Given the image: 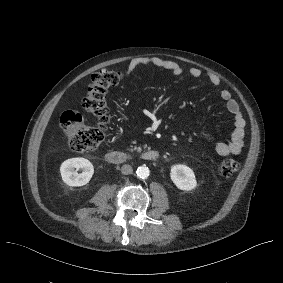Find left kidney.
Here are the masks:
<instances>
[{
  "label": "left kidney",
  "mask_w": 283,
  "mask_h": 283,
  "mask_svg": "<svg viewBox=\"0 0 283 283\" xmlns=\"http://www.w3.org/2000/svg\"><path fill=\"white\" fill-rule=\"evenodd\" d=\"M170 178L180 190L190 191L197 186L193 170L186 165L179 164L172 166Z\"/></svg>",
  "instance_id": "left-kidney-1"
}]
</instances>
